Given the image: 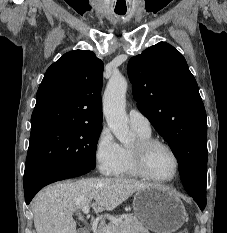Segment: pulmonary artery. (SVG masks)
I'll use <instances>...</instances> for the list:
<instances>
[{"mask_svg": "<svg viewBox=\"0 0 227 233\" xmlns=\"http://www.w3.org/2000/svg\"><path fill=\"white\" fill-rule=\"evenodd\" d=\"M129 122L133 129L150 133L151 125L148 118L136 109H130L128 112Z\"/></svg>", "mask_w": 227, "mask_h": 233, "instance_id": "obj_1", "label": "pulmonary artery"}]
</instances>
